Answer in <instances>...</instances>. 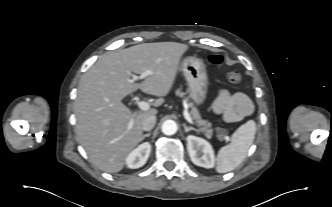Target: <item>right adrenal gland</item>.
Wrapping results in <instances>:
<instances>
[{
    "label": "right adrenal gland",
    "mask_w": 332,
    "mask_h": 207,
    "mask_svg": "<svg viewBox=\"0 0 332 207\" xmlns=\"http://www.w3.org/2000/svg\"><path fill=\"white\" fill-rule=\"evenodd\" d=\"M151 135V132L147 133V134H144L142 135V140L145 138V137H149Z\"/></svg>",
    "instance_id": "1"
}]
</instances>
